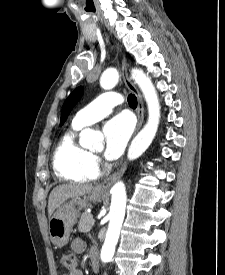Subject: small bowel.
Segmentation results:
<instances>
[{"label":"small bowel","mask_w":225,"mask_h":275,"mask_svg":"<svg viewBox=\"0 0 225 275\" xmlns=\"http://www.w3.org/2000/svg\"><path fill=\"white\" fill-rule=\"evenodd\" d=\"M72 249L76 253H81L85 250V244L81 240L77 239L72 243ZM92 254H96V252L93 251ZM64 275H83V274L80 270L76 269V270L70 271L69 273H66Z\"/></svg>","instance_id":"small-bowel-1"}]
</instances>
